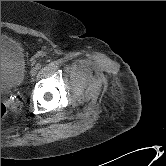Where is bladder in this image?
I'll return each instance as SVG.
<instances>
[{"mask_svg":"<svg viewBox=\"0 0 166 166\" xmlns=\"http://www.w3.org/2000/svg\"><path fill=\"white\" fill-rule=\"evenodd\" d=\"M25 75V56L21 44L1 34V89L18 87Z\"/></svg>","mask_w":166,"mask_h":166,"instance_id":"obj_1","label":"bladder"}]
</instances>
